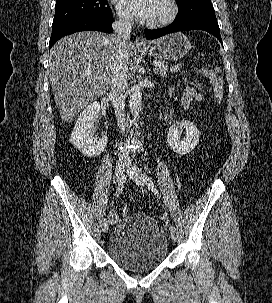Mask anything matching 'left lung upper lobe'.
Here are the masks:
<instances>
[{"label": "left lung upper lobe", "instance_id": "left-lung-upper-lobe-1", "mask_svg": "<svg viewBox=\"0 0 272 303\" xmlns=\"http://www.w3.org/2000/svg\"><path fill=\"white\" fill-rule=\"evenodd\" d=\"M179 14L175 20L215 16L211 0H176Z\"/></svg>", "mask_w": 272, "mask_h": 303}]
</instances>
